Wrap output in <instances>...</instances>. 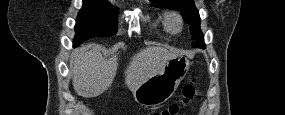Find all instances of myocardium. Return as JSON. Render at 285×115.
Masks as SVG:
<instances>
[{
  "label": "myocardium",
  "mask_w": 285,
  "mask_h": 115,
  "mask_svg": "<svg viewBox=\"0 0 285 115\" xmlns=\"http://www.w3.org/2000/svg\"><path fill=\"white\" fill-rule=\"evenodd\" d=\"M167 24L174 33L180 32L183 27L182 16L178 12H171L166 16Z\"/></svg>",
  "instance_id": "1"
}]
</instances>
